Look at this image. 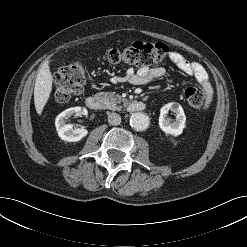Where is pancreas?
<instances>
[{
	"label": "pancreas",
	"instance_id": "pancreas-1",
	"mask_svg": "<svg viewBox=\"0 0 247 247\" xmlns=\"http://www.w3.org/2000/svg\"><path fill=\"white\" fill-rule=\"evenodd\" d=\"M98 96L101 98L105 107L110 110H121L122 106L119 105L121 102H123L124 106L129 104L127 99L122 98V96L114 92H100Z\"/></svg>",
	"mask_w": 247,
	"mask_h": 247
}]
</instances>
